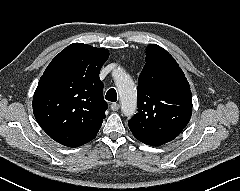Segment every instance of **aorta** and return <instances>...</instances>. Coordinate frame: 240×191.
<instances>
[{"instance_id":"aorta-1","label":"aorta","mask_w":240,"mask_h":191,"mask_svg":"<svg viewBox=\"0 0 240 191\" xmlns=\"http://www.w3.org/2000/svg\"><path fill=\"white\" fill-rule=\"evenodd\" d=\"M116 87L120 95L121 111L131 117L137 109V92L131 77L123 70H117V74H113Z\"/></svg>"}]
</instances>
